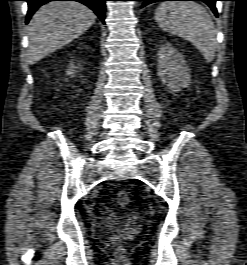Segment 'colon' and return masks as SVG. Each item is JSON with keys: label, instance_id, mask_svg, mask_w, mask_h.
Returning a JSON list of instances; mask_svg holds the SVG:
<instances>
[{"label": "colon", "instance_id": "colon-1", "mask_svg": "<svg viewBox=\"0 0 247 265\" xmlns=\"http://www.w3.org/2000/svg\"><path fill=\"white\" fill-rule=\"evenodd\" d=\"M117 203L120 207L122 208H125L127 207L129 204H130V195L128 192L126 191H120L118 194H117ZM118 252L119 253H122L123 252V248L120 247L118 249Z\"/></svg>", "mask_w": 247, "mask_h": 265}]
</instances>
